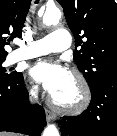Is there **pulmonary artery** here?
I'll return each mask as SVG.
<instances>
[{"label": "pulmonary artery", "instance_id": "obj_1", "mask_svg": "<svg viewBox=\"0 0 117 136\" xmlns=\"http://www.w3.org/2000/svg\"><path fill=\"white\" fill-rule=\"evenodd\" d=\"M72 36L66 29H55L42 39L22 44L11 55L16 62L21 59L34 58L49 53L61 52L71 46Z\"/></svg>", "mask_w": 117, "mask_h": 136}]
</instances>
